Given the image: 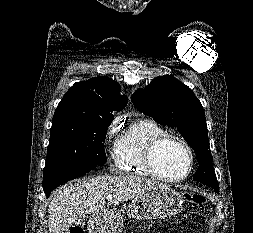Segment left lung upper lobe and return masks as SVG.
Returning a JSON list of instances; mask_svg holds the SVG:
<instances>
[{
  "mask_svg": "<svg viewBox=\"0 0 253 233\" xmlns=\"http://www.w3.org/2000/svg\"><path fill=\"white\" fill-rule=\"evenodd\" d=\"M131 101L138 111L161 125L176 128L196 152L199 167L193 179L217 186L212 166L205 113L193 91L173 76L156 77L144 90H137Z\"/></svg>",
  "mask_w": 253,
  "mask_h": 233,
  "instance_id": "obj_1",
  "label": "left lung upper lobe"
}]
</instances>
